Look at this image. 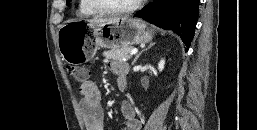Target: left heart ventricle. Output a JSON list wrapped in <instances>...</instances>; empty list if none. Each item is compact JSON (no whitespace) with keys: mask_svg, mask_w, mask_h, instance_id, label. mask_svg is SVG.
<instances>
[{"mask_svg":"<svg viewBox=\"0 0 257 130\" xmlns=\"http://www.w3.org/2000/svg\"><path fill=\"white\" fill-rule=\"evenodd\" d=\"M97 3L109 8H124L132 5L136 0H96Z\"/></svg>","mask_w":257,"mask_h":130,"instance_id":"1","label":"left heart ventricle"}]
</instances>
